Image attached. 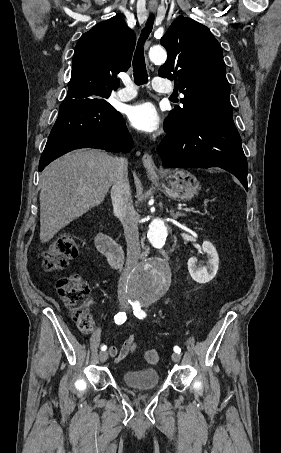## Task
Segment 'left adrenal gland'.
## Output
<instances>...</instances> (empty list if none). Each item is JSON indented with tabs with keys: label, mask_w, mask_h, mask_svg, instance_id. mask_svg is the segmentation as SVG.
<instances>
[{
	"label": "left adrenal gland",
	"mask_w": 281,
	"mask_h": 453,
	"mask_svg": "<svg viewBox=\"0 0 281 453\" xmlns=\"http://www.w3.org/2000/svg\"><path fill=\"white\" fill-rule=\"evenodd\" d=\"M170 214L171 216H173V218H178V216H182L181 212H174V210H170Z\"/></svg>",
	"instance_id": "obj_1"
}]
</instances>
